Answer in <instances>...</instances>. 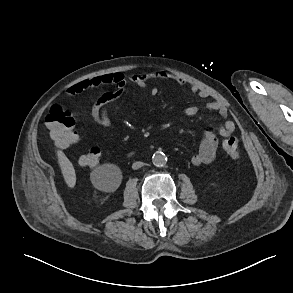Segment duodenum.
<instances>
[{
    "mask_svg": "<svg viewBox=\"0 0 293 293\" xmlns=\"http://www.w3.org/2000/svg\"><path fill=\"white\" fill-rule=\"evenodd\" d=\"M133 155H134V153H133V152H130V153H129V156H133Z\"/></svg>",
    "mask_w": 293,
    "mask_h": 293,
    "instance_id": "obj_1",
    "label": "duodenum"
}]
</instances>
